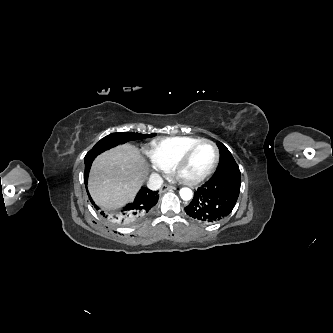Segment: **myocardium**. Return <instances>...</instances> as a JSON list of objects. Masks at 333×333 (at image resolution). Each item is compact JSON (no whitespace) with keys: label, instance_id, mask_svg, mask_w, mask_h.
<instances>
[{"label":"myocardium","instance_id":"f54148a6","mask_svg":"<svg viewBox=\"0 0 333 333\" xmlns=\"http://www.w3.org/2000/svg\"><path fill=\"white\" fill-rule=\"evenodd\" d=\"M202 144H209L211 146L214 147L215 152H216V157H215V161L213 163V165L211 166V168L204 173L203 175L197 177V178H193V179H184L180 176L181 170L184 167V165L188 162L190 156L192 155V153L195 151L196 148H198L200 145ZM220 150L218 148V146L215 144V142L208 140V139H201L198 142H196L195 144H193L192 146H190L188 149H186L181 155L180 157L177 159V161L175 162L172 170L174 175L180 179L183 183L187 184V185H196L199 184L201 182H203L204 180H206L208 177H210L215 170L217 169L219 162H220Z\"/></svg>","mask_w":333,"mask_h":333}]
</instances>
